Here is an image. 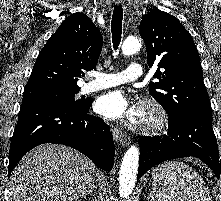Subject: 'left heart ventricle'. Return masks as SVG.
Returning a JSON list of instances; mask_svg holds the SVG:
<instances>
[{"instance_id": "left-heart-ventricle-1", "label": "left heart ventricle", "mask_w": 221, "mask_h": 201, "mask_svg": "<svg viewBox=\"0 0 221 201\" xmlns=\"http://www.w3.org/2000/svg\"><path fill=\"white\" fill-rule=\"evenodd\" d=\"M145 120H146L145 116L139 112V115L135 121L142 123L145 122Z\"/></svg>"}]
</instances>
